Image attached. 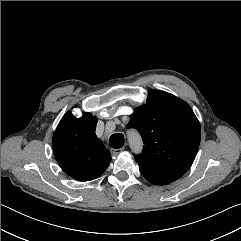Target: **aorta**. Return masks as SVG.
Instances as JSON below:
<instances>
[{
  "label": "aorta",
  "mask_w": 241,
  "mask_h": 241,
  "mask_svg": "<svg viewBox=\"0 0 241 241\" xmlns=\"http://www.w3.org/2000/svg\"><path fill=\"white\" fill-rule=\"evenodd\" d=\"M131 141H132V144H134V140L132 139Z\"/></svg>",
  "instance_id": "762f6f07"
}]
</instances>
